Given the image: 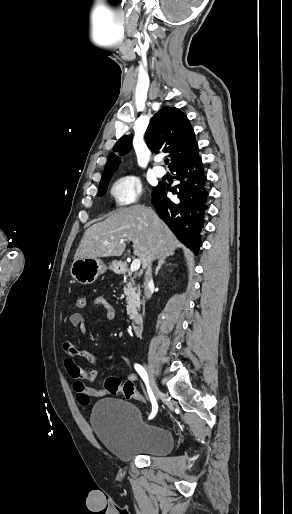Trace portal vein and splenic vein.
Segmentation results:
<instances>
[{
    "mask_svg": "<svg viewBox=\"0 0 292 514\" xmlns=\"http://www.w3.org/2000/svg\"><path fill=\"white\" fill-rule=\"evenodd\" d=\"M120 242H124V240H120ZM140 260H133L132 264H131V268H130V272H137V270H139L140 268Z\"/></svg>",
    "mask_w": 292,
    "mask_h": 514,
    "instance_id": "1",
    "label": "portal vein and splenic vein"
}]
</instances>
